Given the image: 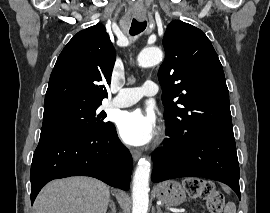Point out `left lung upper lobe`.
<instances>
[{
  "label": "left lung upper lobe",
  "instance_id": "5c2ea615",
  "mask_svg": "<svg viewBox=\"0 0 270 213\" xmlns=\"http://www.w3.org/2000/svg\"><path fill=\"white\" fill-rule=\"evenodd\" d=\"M165 60L158 78L170 131L232 132L229 91L218 55L200 29L172 21L163 38Z\"/></svg>",
  "mask_w": 270,
  "mask_h": 213
}]
</instances>
